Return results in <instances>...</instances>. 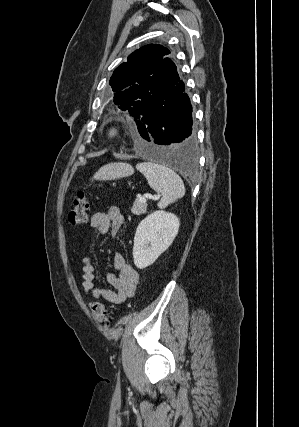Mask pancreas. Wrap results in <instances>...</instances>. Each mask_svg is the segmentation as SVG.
Returning <instances> with one entry per match:
<instances>
[{"label": "pancreas", "mask_w": 299, "mask_h": 427, "mask_svg": "<svg viewBox=\"0 0 299 427\" xmlns=\"http://www.w3.org/2000/svg\"><path fill=\"white\" fill-rule=\"evenodd\" d=\"M146 209H147V203L140 201V199H136L131 208V212L134 215H141L146 212Z\"/></svg>", "instance_id": "pancreas-1"}]
</instances>
